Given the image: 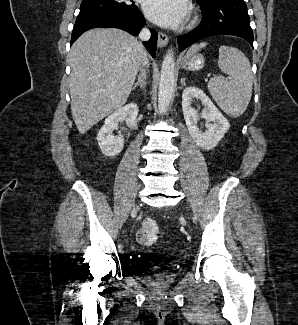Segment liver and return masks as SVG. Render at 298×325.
<instances>
[{
  "instance_id": "6515ba94",
  "label": "liver",
  "mask_w": 298,
  "mask_h": 325,
  "mask_svg": "<svg viewBox=\"0 0 298 325\" xmlns=\"http://www.w3.org/2000/svg\"><path fill=\"white\" fill-rule=\"evenodd\" d=\"M143 52L140 40L120 28H92L73 42L71 112L81 134L127 102Z\"/></svg>"
}]
</instances>
